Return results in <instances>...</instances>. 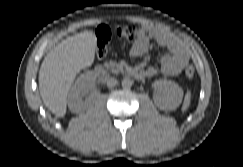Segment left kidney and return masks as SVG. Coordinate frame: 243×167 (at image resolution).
<instances>
[{"mask_svg":"<svg viewBox=\"0 0 243 167\" xmlns=\"http://www.w3.org/2000/svg\"><path fill=\"white\" fill-rule=\"evenodd\" d=\"M152 87L156 91H162L164 96L156 95L154 97L155 105L161 110H175L181 103L183 98L182 88L170 80H156Z\"/></svg>","mask_w":243,"mask_h":167,"instance_id":"1","label":"left kidney"}]
</instances>
